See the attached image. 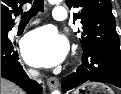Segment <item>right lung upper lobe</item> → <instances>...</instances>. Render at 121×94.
<instances>
[{
    "label": "right lung upper lobe",
    "mask_w": 121,
    "mask_h": 94,
    "mask_svg": "<svg viewBox=\"0 0 121 94\" xmlns=\"http://www.w3.org/2000/svg\"><path fill=\"white\" fill-rule=\"evenodd\" d=\"M31 0H1V30L10 29L14 26L12 13L18 15L22 12V6Z\"/></svg>",
    "instance_id": "right-lung-upper-lobe-1"
}]
</instances>
